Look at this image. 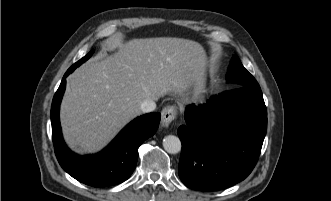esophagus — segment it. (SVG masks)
<instances>
[{
	"mask_svg": "<svg viewBox=\"0 0 331 201\" xmlns=\"http://www.w3.org/2000/svg\"><path fill=\"white\" fill-rule=\"evenodd\" d=\"M177 108L175 106H166L161 112V125L168 127L176 118Z\"/></svg>",
	"mask_w": 331,
	"mask_h": 201,
	"instance_id": "34e87169",
	"label": "esophagus"
}]
</instances>
